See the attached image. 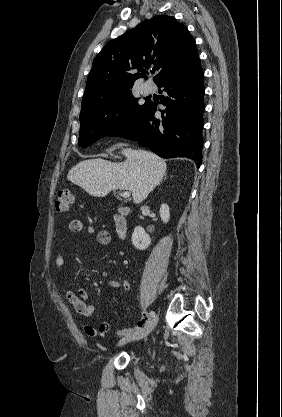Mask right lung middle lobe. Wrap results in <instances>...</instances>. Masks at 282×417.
<instances>
[{
	"label": "right lung middle lobe",
	"instance_id": "1",
	"mask_svg": "<svg viewBox=\"0 0 282 417\" xmlns=\"http://www.w3.org/2000/svg\"><path fill=\"white\" fill-rule=\"evenodd\" d=\"M145 106L138 104L130 90L83 99L79 145L85 148L102 137H117L130 130Z\"/></svg>",
	"mask_w": 282,
	"mask_h": 417
}]
</instances>
